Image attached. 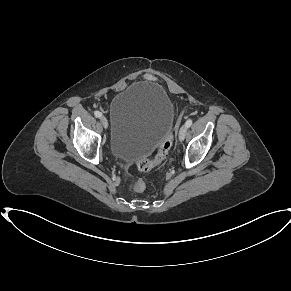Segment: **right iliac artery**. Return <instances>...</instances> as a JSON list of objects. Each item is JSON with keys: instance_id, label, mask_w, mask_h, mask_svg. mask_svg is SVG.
<instances>
[{"instance_id": "obj_1", "label": "right iliac artery", "mask_w": 291, "mask_h": 291, "mask_svg": "<svg viewBox=\"0 0 291 291\" xmlns=\"http://www.w3.org/2000/svg\"><path fill=\"white\" fill-rule=\"evenodd\" d=\"M94 115L97 117V118H100L102 116L101 112L99 111H94Z\"/></svg>"}]
</instances>
